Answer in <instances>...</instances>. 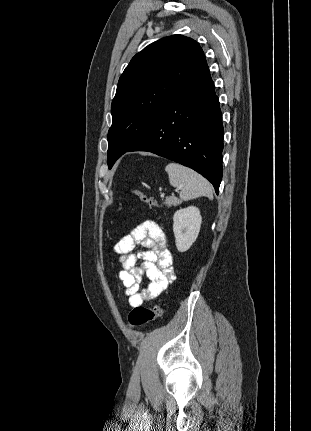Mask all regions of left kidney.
Returning a JSON list of instances; mask_svg holds the SVG:
<instances>
[{"label": "left kidney", "mask_w": 311, "mask_h": 431, "mask_svg": "<svg viewBox=\"0 0 311 431\" xmlns=\"http://www.w3.org/2000/svg\"><path fill=\"white\" fill-rule=\"evenodd\" d=\"M173 231L178 251H187L198 237L202 217L195 206L177 210L173 216Z\"/></svg>", "instance_id": "1"}]
</instances>
